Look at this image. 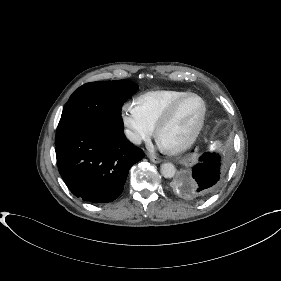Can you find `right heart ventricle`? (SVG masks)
Segmentation results:
<instances>
[{
    "label": "right heart ventricle",
    "mask_w": 281,
    "mask_h": 281,
    "mask_svg": "<svg viewBox=\"0 0 281 281\" xmlns=\"http://www.w3.org/2000/svg\"><path fill=\"white\" fill-rule=\"evenodd\" d=\"M186 93L188 92L181 90L148 91L139 95L135 99V103L147 122L152 127H155L159 118L166 111L169 105Z\"/></svg>",
    "instance_id": "1"
}]
</instances>
